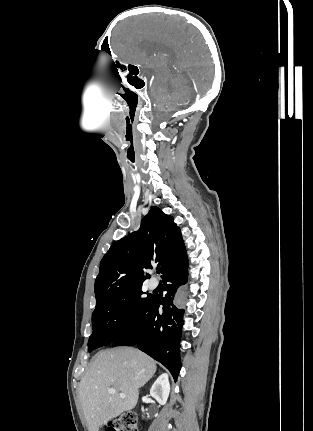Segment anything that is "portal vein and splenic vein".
I'll return each instance as SVG.
<instances>
[{"instance_id":"obj_1","label":"portal vein and splenic vein","mask_w":313,"mask_h":431,"mask_svg":"<svg viewBox=\"0 0 313 431\" xmlns=\"http://www.w3.org/2000/svg\"><path fill=\"white\" fill-rule=\"evenodd\" d=\"M116 392V390L114 388H109L108 389V393L109 394H114ZM120 397L121 398H125V395L123 393H120Z\"/></svg>"}]
</instances>
